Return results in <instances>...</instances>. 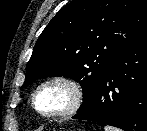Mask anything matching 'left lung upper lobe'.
Returning <instances> with one entry per match:
<instances>
[{
  "instance_id": "left-lung-upper-lobe-1",
  "label": "left lung upper lobe",
  "mask_w": 147,
  "mask_h": 131,
  "mask_svg": "<svg viewBox=\"0 0 147 131\" xmlns=\"http://www.w3.org/2000/svg\"><path fill=\"white\" fill-rule=\"evenodd\" d=\"M147 37V0H72L39 36L22 88L42 77L80 82L83 109L114 60Z\"/></svg>"
}]
</instances>
